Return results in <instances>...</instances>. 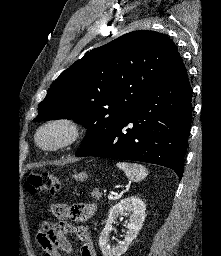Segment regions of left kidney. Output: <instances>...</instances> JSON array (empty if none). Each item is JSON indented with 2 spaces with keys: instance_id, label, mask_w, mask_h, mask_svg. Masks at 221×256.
Listing matches in <instances>:
<instances>
[{
  "instance_id": "5707ae66",
  "label": "left kidney",
  "mask_w": 221,
  "mask_h": 256,
  "mask_svg": "<svg viewBox=\"0 0 221 256\" xmlns=\"http://www.w3.org/2000/svg\"><path fill=\"white\" fill-rule=\"evenodd\" d=\"M145 210L146 206L144 202L135 196L121 200L110 209L106 225L99 237V246L104 256H121L127 251L129 245L137 237V234L142 228L145 220ZM124 213L126 216H130L129 223L125 222L128 229L126 236L116 247H111L109 234L112 229V224L117 217Z\"/></svg>"
}]
</instances>
